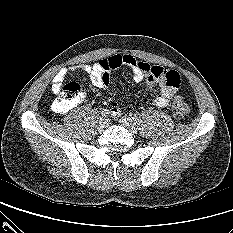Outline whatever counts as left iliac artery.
<instances>
[{"label": "left iliac artery", "instance_id": "obj_1", "mask_svg": "<svg viewBox=\"0 0 233 233\" xmlns=\"http://www.w3.org/2000/svg\"><path fill=\"white\" fill-rule=\"evenodd\" d=\"M133 120L137 122V121H139V117L138 116H134Z\"/></svg>", "mask_w": 233, "mask_h": 233}]
</instances>
